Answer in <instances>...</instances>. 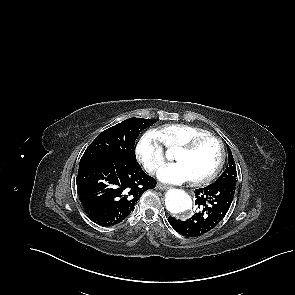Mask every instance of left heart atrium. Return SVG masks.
Listing matches in <instances>:
<instances>
[{
    "label": "left heart atrium",
    "instance_id": "obj_1",
    "mask_svg": "<svg viewBox=\"0 0 295 295\" xmlns=\"http://www.w3.org/2000/svg\"><path fill=\"white\" fill-rule=\"evenodd\" d=\"M158 178L165 183L171 184H181L194 179L187 165L179 161L164 166L158 172Z\"/></svg>",
    "mask_w": 295,
    "mask_h": 295
}]
</instances>
